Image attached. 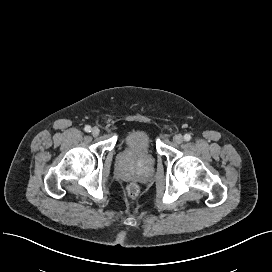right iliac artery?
Segmentation results:
<instances>
[{"label": "right iliac artery", "instance_id": "82829eb1", "mask_svg": "<svg viewBox=\"0 0 272 272\" xmlns=\"http://www.w3.org/2000/svg\"><path fill=\"white\" fill-rule=\"evenodd\" d=\"M84 130H85L86 132H90V131H91V127L87 125V126H85Z\"/></svg>", "mask_w": 272, "mask_h": 272}]
</instances>
